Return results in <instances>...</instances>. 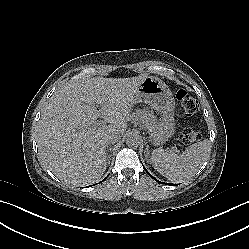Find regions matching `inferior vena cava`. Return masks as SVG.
Here are the masks:
<instances>
[{
  "mask_svg": "<svg viewBox=\"0 0 249 249\" xmlns=\"http://www.w3.org/2000/svg\"><path fill=\"white\" fill-rule=\"evenodd\" d=\"M119 139H120V136L117 135V134H110V135H108V136L105 137V141L108 144L111 143V142H113V141H117Z\"/></svg>",
  "mask_w": 249,
  "mask_h": 249,
  "instance_id": "602c4592",
  "label": "inferior vena cava"
}]
</instances>
